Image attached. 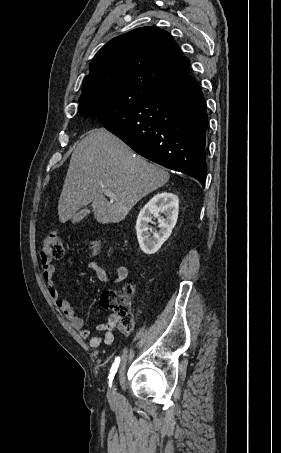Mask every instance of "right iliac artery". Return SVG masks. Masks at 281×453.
Wrapping results in <instances>:
<instances>
[{
	"instance_id": "obj_1",
	"label": "right iliac artery",
	"mask_w": 281,
	"mask_h": 453,
	"mask_svg": "<svg viewBox=\"0 0 281 453\" xmlns=\"http://www.w3.org/2000/svg\"><path fill=\"white\" fill-rule=\"evenodd\" d=\"M119 364H120V357H117V358H115V361L112 364V367H111V370H110V374H109V377H108L110 386H111L112 380H113V378L115 376V373L117 372Z\"/></svg>"
}]
</instances>
